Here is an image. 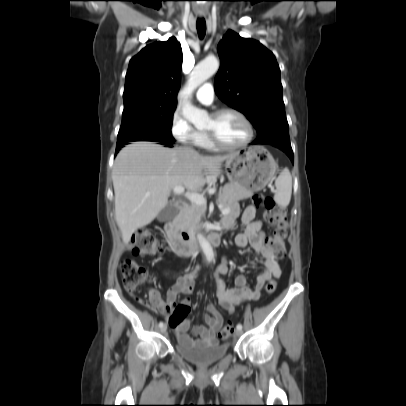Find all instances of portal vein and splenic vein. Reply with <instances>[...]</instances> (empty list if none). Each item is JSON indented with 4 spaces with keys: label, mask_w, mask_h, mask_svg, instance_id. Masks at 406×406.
<instances>
[{
    "label": "portal vein and splenic vein",
    "mask_w": 406,
    "mask_h": 406,
    "mask_svg": "<svg viewBox=\"0 0 406 406\" xmlns=\"http://www.w3.org/2000/svg\"><path fill=\"white\" fill-rule=\"evenodd\" d=\"M174 193L176 194H182L185 191V188L182 186H176L173 188ZM185 197L188 198L191 202L198 204V205H204L206 203L205 198L197 193H191V192H186ZM219 209L221 210L222 214H228L230 212L229 208H223L222 205H218Z\"/></svg>",
    "instance_id": "obj_1"
}]
</instances>
